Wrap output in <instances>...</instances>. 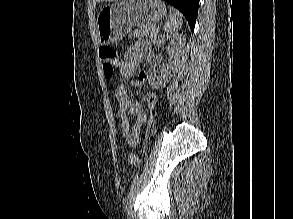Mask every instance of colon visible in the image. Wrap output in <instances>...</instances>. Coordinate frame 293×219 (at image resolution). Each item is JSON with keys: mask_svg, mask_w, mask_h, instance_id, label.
<instances>
[{"mask_svg": "<svg viewBox=\"0 0 293 219\" xmlns=\"http://www.w3.org/2000/svg\"><path fill=\"white\" fill-rule=\"evenodd\" d=\"M100 59L103 65V71L106 78H112L119 66V56L117 52L110 47H102L99 50ZM128 162L135 165L138 162V155L132 153L128 156Z\"/></svg>", "mask_w": 293, "mask_h": 219, "instance_id": "colon-1", "label": "colon"}]
</instances>
